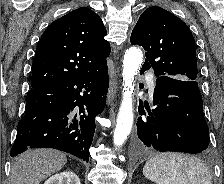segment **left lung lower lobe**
<instances>
[{"mask_svg": "<svg viewBox=\"0 0 224 184\" xmlns=\"http://www.w3.org/2000/svg\"><path fill=\"white\" fill-rule=\"evenodd\" d=\"M145 70L141 69L140 73ZM156 107L145 113L139 100L137 134L139 145L158 151L201 153L209 145V130L196 81L159 76L153 95Z\"/></svg>", "mask_w": 224, "mask_h": 184, "instance_id": "1", "label": "left lung lower lobe"}]
</instances>
